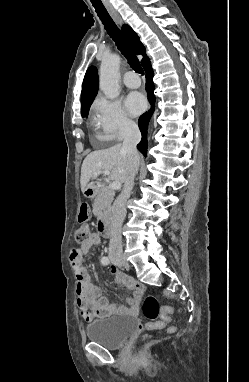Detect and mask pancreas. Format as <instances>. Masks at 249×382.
<instances>
[{"instance_id":"obj_1","label":"pancreas","mask_w":249,"mask_h":382,"mask_svg":"<svg viewBox=\"0 0 249 382\" xmlns=\"http://www.w3.org/2000/svg\"><path fill=\"white\" fill-rule=\"evenodd\" d=\"M114 193L109 187H100L94 199L93 213L97 218H102L109 213Z\"/></svg>"}]
</instances>
